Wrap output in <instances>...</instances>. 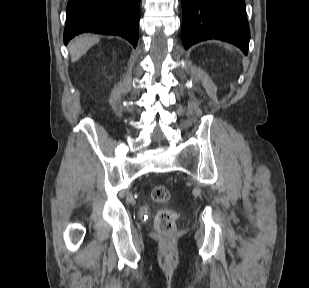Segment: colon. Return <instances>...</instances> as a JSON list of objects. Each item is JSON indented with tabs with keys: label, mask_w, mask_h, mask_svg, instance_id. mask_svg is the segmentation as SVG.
Masks as SVG:
<instances>
[{
	"label": "colon",
	"mask_w": 309,
	"mask_h": 288,
	"mask_svg": "<svg viewBox=\"0 0 309 288\" xmlns=\"http://www.w3.org/2000/svg\"><path fill=\"white\" fill-rule=\"evenodd\" d=\"M151 197L156 202H165L170 198V191L164 185H157L151 191ZM177 215L171 209L161 210L155 218V227L163 235H169L175 231Z\"/></svg>",
	"instance_id": "colon-1"
}]
</instances>
